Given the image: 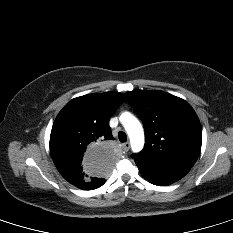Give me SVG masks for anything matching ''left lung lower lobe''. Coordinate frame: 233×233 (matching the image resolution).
I'll use <instances>...</instances> for the list:
<instances>
[{
  "label": "left lung lower lobe",
  "instance_id": "obj_1",
  "mask_svg": "<svg viewBox=\"0 0 233 233\" xmlns=\"http://www.w3.org/2000/svg\"><path fill=\"white\" fill-rule=\"evenodd\" d=\"M133 159L144 178L150 183L158 186L170 185L180 180L190 170V167L186 166L154 165L135 158Z\"/></svg>",
  "mask_w": 233,
  "mask_h": 233
}]
</instances>
